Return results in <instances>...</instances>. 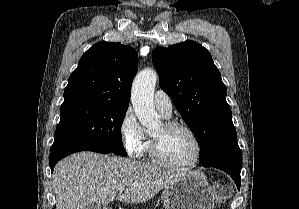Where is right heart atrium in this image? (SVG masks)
I'll use <instances>...</instances> for the list:
<instances>
[{"label": "right heart atrium", "instance_id": "d8ad5b80", "mask_svg": "<svg viewBox=\"0 0 299 209\" xmlns=\"http://www.w3.org/2000/svg\"><path fill=\"white\" fill-rule=\"evenodd\" d=\"M119 132L128 155L133 158L141 157L148 146V139L131 108L125 111Z\"/></svg>", "mask_w": 299, "mask_h": 209}]
</instances>
